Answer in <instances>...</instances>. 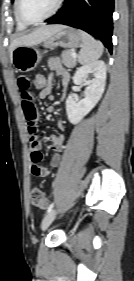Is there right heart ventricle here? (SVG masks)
I'll return each mask as SVG.
<instances>
[{
  "label": "right heart ventricle",
  "instance_id": "e07e8e85",
  "mask_svg": "<svg viewBox=\"0 0 134 281\" xmlns=\"http://www.w3.org/2000/svg\"><path fill=\"white\" fill-rule=\"evenodd\" d=\"M14 15H15V20H16V26H17V29L22 31V30H25L27 28V25L23 24L17 17L16 15V10L14 9Z\"/></svg>",
  "mask_w": 134,
  "mask_h": 281
}]
</instances>
